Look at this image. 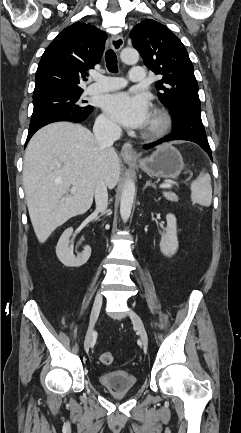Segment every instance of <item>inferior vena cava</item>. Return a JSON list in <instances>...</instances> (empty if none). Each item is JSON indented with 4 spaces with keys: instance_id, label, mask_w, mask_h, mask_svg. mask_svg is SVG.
Returning a JSON list of instances; mask_svg holds the SVG:
<instances>
[{
    "instance_id": "1",
    "label": "inferior vena cava",
    "mask_w": 241,
    "mask_h": 433,
    "mask_svg": "<svg viewBox=\"0 0 241 433\" xmlns=\"http://www.w3.org/2000/svg\"><path fill=\"white\" fill-rule=\"evenodd\" d=\"M96 144L100 148L111 147L121 136V128L107 120L98 121L93 127ZM96 210L104 213L108 206L107 186L103 177L99 176L95 185Z\"/></svg>"
}]
</instances>
